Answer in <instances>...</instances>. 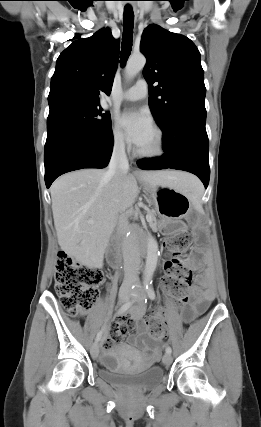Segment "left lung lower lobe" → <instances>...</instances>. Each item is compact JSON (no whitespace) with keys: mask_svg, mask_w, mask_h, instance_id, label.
Returning <instances> with one entry per match:
<instances>
[{"mask_svg":"<svg viewBox=\"0 0 261 427\" xmlns=\"http://www.w3.org/2000/svg\"><path fill=\"white\" fill-rule=\"evenodd\" d=\"M206 110L182 108L161 127L164 155L141 159L144 170L178 169L197 175L205 188L209 183V141L205 129Z\"/></svg>","mask_w":261,"mask_h":427,"instance_id":"obj_1","label":"left lung lower lobe"}]
</instances>
